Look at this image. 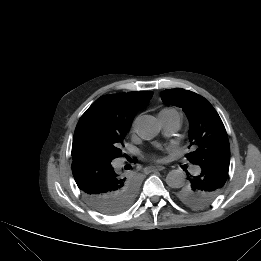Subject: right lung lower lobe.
I'll use <instances>...</instances> for the list:
<instances>
[{
  "mask_svg": "<svg viewBox=\"0 0 261 261\" xmlns=\"http://www.w3.org/2000/svg\"><path fill=\"white\" fill-rule=\"evenodd\" d=\"M72 159L76 184L92 208L102 214L115 215L131 205L124 200L129 178L115 170L111 161L85 156Z\"/></svg>",
  "mask_w": 261,
  "mask_h": 261,
  "instance_id": "98d812e1",
  "label": "right lung lower lobe"
}]
</instances>
